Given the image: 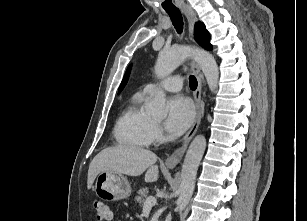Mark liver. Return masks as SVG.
I'll list each match as a JSON object with an SVG mask.
<instances>
[{"label":"liver","instance_id":"obj_1","mask_svg":"<svg viewBox=\"0 0 307 221\" xmlns=\"http://www.w3.org/2000/svg\"><path fill=\"white\" fill-rule=\"evenodd\" d=\"M156 161L155 153L141 147L120 145L106 148L99 152L89 165L87 188L92 187L95 178L101 172L139 176L147 170L145 181H156L159 174Z\"/></svg>","mask_w":307,"mask_h":221}]
</instances>
